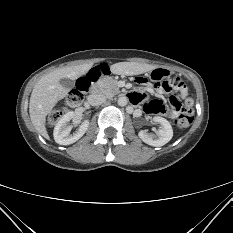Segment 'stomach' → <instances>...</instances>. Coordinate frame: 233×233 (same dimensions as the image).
Segmentation results:
<instances>
[{
    "label": "stomach",
    "mask_w": 233,
    "mask_h": 233,
    "mask_svg": "<svg viewBox=\"0 0 233 233\" xmlns=\"http://www.w3.org/2000/svg\"><path fill=\"white\" fill-rule=\"evenodd\" d=\"M169 72L166 69L163 68H157L154 69L150 72V75L152 77H162V76H166Z\"/></svg>",
    "instance_id": "0dacf381"
}]
</instances>
